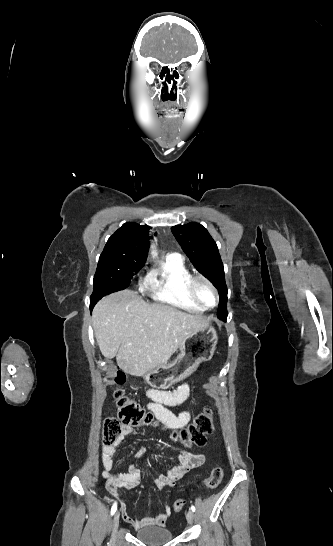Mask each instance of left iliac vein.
<instances>
[{
	"mask_svg": "<svg viewBox=\"0 0 333 546\" xmlns=\"http://www.w3.org/2000/svg\"><path fill=\"white\" fill-rule=\"evenodd\" d=\"M186 519L188 521L189 524H192L193 522V519H194V513L192 510H189L186 514Z\"/></svg>",
	"mask_w": 333,
	"mask_h": 546,
	"instance_id": "1",
	"label": "left iliac vein"
}]
</instances>
